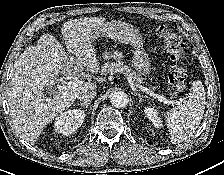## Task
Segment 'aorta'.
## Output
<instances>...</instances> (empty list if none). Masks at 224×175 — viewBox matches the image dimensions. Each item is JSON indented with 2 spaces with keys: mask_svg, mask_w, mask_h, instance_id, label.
<instances>
[{
  "mask_svg": "<svg viewBox=\"0 0 224 175\" xmlns=\"http://www.w3.org/2000/svg\"><path fill=\"white\" fill-rule=\"evenodd\" d=\"M127 94L119 91L111 95V104L116 108H123L128 104Z\"/></svg>",
  "mask_w": 224,
  "mask_h": 175,
  "instance_id": "762f6f07",
  "label": "aorta"
}]
</instances>
